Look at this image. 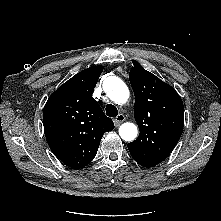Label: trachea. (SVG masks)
Here are the masks:
<instances>
[{"label": "trachea", "instance_id": "1", "mask_svg": "<svg viewBox=\"0 0 221 221\" xmlns=\"http://www.w3.org/2000/svg\"><path fill=\"white\" fill-rule=\"evenodd\" d=\"M106 114L109 117H115L118 114V110H117V108L114 105L108 104L106 106Z\"/></svg>", "mask_w": 221, "mask_h": 221}]
</instances>
